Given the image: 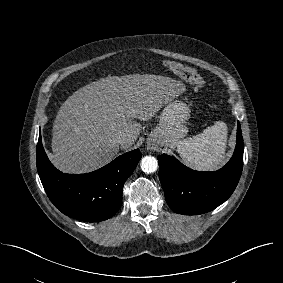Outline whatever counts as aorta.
I'll return each instance as SVG.
<instances>
[{
  "label": "aorta",
  "mask_w": 283,
  "mask_h": 283,
  "mask_svg": "<svg viewBox=\"0 0 283 283\" xmlns=\"http://www.w3.org/2000/svg\"><path fill=\"white\" fill-rule=\"evenodd\" d=\"M141 170L145 173H153L158 168V161L153 156H145L141 159Z\"/></svg>",
  "instance_id": "obj_1"
}]
</instances>
